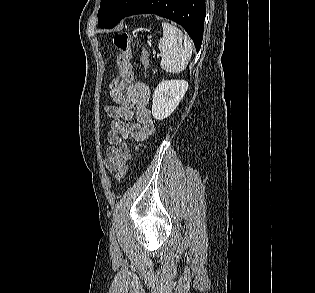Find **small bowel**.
<instances>
[{"label":"small bowel","instance_id":"small-bowel-1","mask_svg":"<svg viewBox=\"0 0 315 293\" xmlns=\"http://www.w3.org/2000/svg\"><path fill=\"white\" fill-rule=\"evenodd\" d=\"M118 92L110 93L114 105L105 107L106 114L111 118L107 133L109 146L106 149V167L113 172L123 167L155 129L148 108L150 91L144 83H135L131 79H123ZM111 86V85H110ZM135 118L136 122L130 121ZM132 139L136 145L130 147L127 143Z\"/></svg>","mask_w":315,"mask_h":293}]
</instances>
